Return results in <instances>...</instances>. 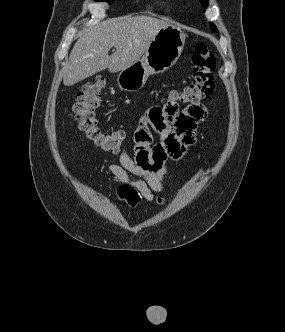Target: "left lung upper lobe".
Instances as JSON below:
<instances>
[{
    "label": "left lung upper lobe",
    "mask_w": 285,
    "mask_h": 332,
    "mask_svg": "<svg viewBox=\"0 0 285 332\" xmlns=\"http://www.w3.org/2000/svg\"><path fill=\"white\" fill-rule=\"evenodd\" d=\"M200 1H201V4H202V6H203V8L205 10L206 7L208 6V1L209 0H200ZM210 27L212 28L213 32H217V28H216V26L214 24L210 23Z\"/></svg>",
    "instance_id": "5c2ea615"
}]
</instances>
